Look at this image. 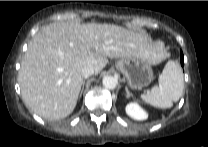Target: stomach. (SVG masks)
<instances>
[{
	"label": "stomach",
	"instance_id": "stomach-1",
	"mask_svg": "<svg viewBox=\"0 0 208 147\" xmlns=\"http://www.w3.org/2000/svg\"><path fill=\"white\" fill-rule=\"evenodd\" d=\"M116 68L125 75L128 85L133 89H142L153 79L150 64L141 58H121L116 62Z\"/></svg>",
	"mask_w": 208,
	"mask_h": 147
}]
</instances>
